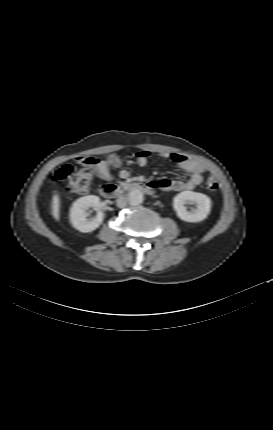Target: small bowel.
<instances>
[{
	"label": "small bowel",
	"mask_w": 273,
	"mask_h": 430,
	"mask_svg": "<svg viewBox=\"0 0 273 430\" xmlns=\"http://www.w3.org/2000/svg\"><path fill=\"white\" fill-rule=\"evenodd\" d=\"M158 155L176 163L181 170L189 173L190 176L187 180H154L151 182L154 188L167 192L185 191L192 190L202 183L205 168L200 163L174 152H159ZM150 157L151 153L147 150L138 152L136 154L137 164L139 166L147 165ZM85 159L94 174L105 181H110L113 178L111 168H121L123 165V159L118 154H109L101 160L92 157H85ZM119 176L127 179L130 176V172L127 169H120Z\"/></svg>",
	"instance_id": "obj_1"
}]
</instances>
